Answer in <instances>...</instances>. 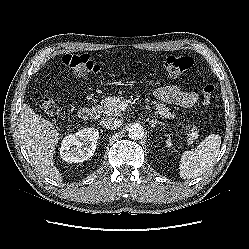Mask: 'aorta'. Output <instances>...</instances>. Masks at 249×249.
<instances>
[{
	"label": "aorta",
	"mask_w": 249,
	"mask_h": 249,
	"mask_svg": "<svg viewBox=\"0 0 249 249\" xmlns=\"http://www.w3.org/2000/svg\"><path fill=\"white\" fill-rule=\"evenodd\" d=\"M144 128L141 124L134 123L128 129V136L132 140H141L144 137Z\"/></svg>",
	"instance_id": "762f6f07"
}]
</instances>
